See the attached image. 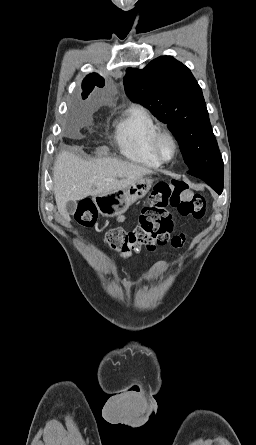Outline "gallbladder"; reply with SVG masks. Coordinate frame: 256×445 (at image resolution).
<instances>
[{"mask_svg": "<svg viewBox=\"0 0 256 445\" xmlns=\"http://www.w3.org/2000/svg\"><path fill=\"white\" fill-rule=\"evenodd\" d=\"M66 211L69 215L74 214V212L76 211V202L75 201H68L66 203Z\"/></svg>", "mask_w": 256, "mask_h": 445, "instance_id": "bac80fb5", "label": "gallbladder"}]
</instances>
